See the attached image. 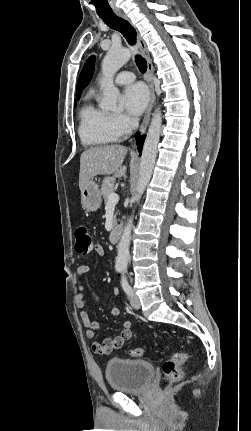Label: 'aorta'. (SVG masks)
<instances>
[{
	"label": "aorta",
	"instance_id": "1",
	"mask_svg": "<svg viewBox=\"0 0 251 431\" xmlns=\"http://www.w3.org/2000/svg\"><path fill=\"white\" fill-rule=\"evenodd\" d=\"M131 57V51L127 48H111L102 62V79L100 81L103 89V99L100 106L104 110H115L117 108V98L119 90L115 87L113 78L117 71L126 64ZM162 125V115L159 108L152 115L151 123L144 142L139 177L137 181V193L134 202L138 203L151 179L160 139ZM133 228V216L128 219L124 226L121 239L118 244L116 257V268L125 269L129 259V247L131 231Z\"/></svg>",
	"mask_w": 251,
	"mask_h": 431
}]
</instances>
